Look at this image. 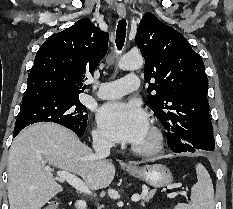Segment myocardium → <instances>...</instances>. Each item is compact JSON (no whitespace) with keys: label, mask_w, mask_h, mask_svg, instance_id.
Listing matches in <instances>:
<instances>
[{"label":"myocardium","mask_w":233,"mask_h":209,"mask_svg":"<svg viewBox=\"0 0 233 209\" xmlns=\"http://www.w3.org/2000/svg\"><path fill=\"white\" fill-rule=\"evenodd\" d=\"M149 130L151 134L150 142L146 145H132L131 149L135 153L142 156H151L159 153L164 145V135L160 127L151 122L149 124Z\"/></svg>","instance_id":"myocardium-1"}]
</instances>
